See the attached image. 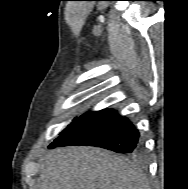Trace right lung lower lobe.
<instances>
[{
  "instance_id": "1",
  "label": "right lung lower lobe",
  "mask_w": 188,
  "mask_h": 189,
  "mask_svg": "<svg viewBox=\"0 0 188 189\" xmlns=\"http://www.w3.org/2000/svg\"><path fill=\"white\" fill-rule=\"evenodd\" d=\"M71 145L96 146L126 154H137L142 149L138 130L114 109L86 113L49 148Z\"/></svg>"
}]
</instances>
